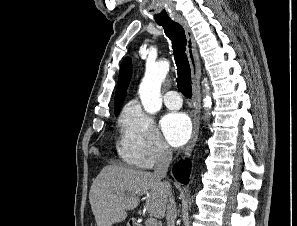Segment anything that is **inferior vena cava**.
I'll list each match as a JSON object with an SVG mask.
<instances>
[{
	"label": "inferior vena cava",
	"mask_w": 297,
	"mask_h": 226,
	"mask_svg": "<svg viewBox=\"0 0 297 226\" xmlns=\"http://www.w3.org/2000/svg\"><path fill=\"white\" fill-rule=\"evenodd\" d=\"M171 161H172V150L168 145L164 144L159 148L153 174L157 178H160V179L165 178ZM164 183L169 192V198H168V204H167V210H166L167 226H175V220L177 218L176 203H175L174 197L172 196L171 186L169 182H164Z\"/></svg>",
	"instance_id": "602c4592"
}]
</instances>
